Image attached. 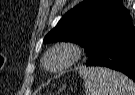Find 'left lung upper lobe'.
Segmentation results:
<instances>
[{"label":"left lung upper lobe","instance_id":"1","mask_svg":"<svg viewBox=\"0 0 135 95\" xmlns=\"http://www.w3.org/2000/svg\"><path fill=\"white\" fill-rule=\"evenodd\" d=\"M130 25L132 18L122 0H85L61 18L43 43L75 42L90 58L106 36Z\"/></svg>","mask_w":135,"mask_h":95}]
</instances>
